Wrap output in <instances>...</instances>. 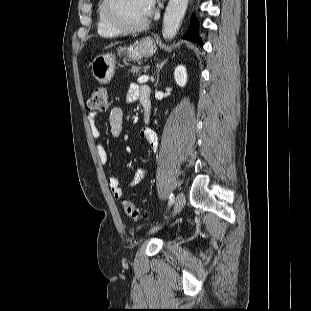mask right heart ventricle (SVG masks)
Segmentation results:
<instances>
[{
    "mask_svg": "<svg viewBox=\"0 0 311 311\" xmlns=\"http://www.w3.org/2000/svg\"><path fill=\"white\" fill-rule=\"evenodd\" d=\"M103 5L104 0H99L96 9V31L100 36L103 37H114L119 35L120 33L111 27L105 20L103 15Z\"/></svg>",
    "mask_w": 311,
    "mask_h": 311,
    "instance_id": "e07e8e85",
    "label": "right heart ventricle"
}]
</instances>
